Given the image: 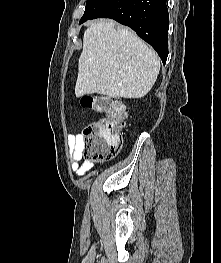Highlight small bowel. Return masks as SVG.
<instances>
[{"instance_id":"small-bowel-1","label":"small bowel","mask_w":221,"mask_h":263,"mask_svg":"<svg viewBox=\"0 0 221 263\" xmlns=\"http://www.w3.org/2000/svg\"><path fill=\"white\" fill-rule=\"evenodd\" d=\"M83 142V134L68 137V147L73 158L72 168L78 176L84 175L94 166V161L84 159ZM99 164H104V161H99Z\"/></svg>"}]
</instances>
